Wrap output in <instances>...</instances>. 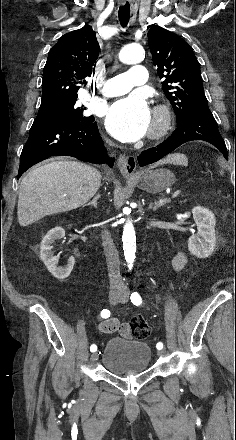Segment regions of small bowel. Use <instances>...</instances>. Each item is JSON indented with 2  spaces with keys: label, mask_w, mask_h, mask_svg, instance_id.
I'll return each mask as SVG.
<instances>
[{
  "label": "small bowel",
  "mask_w": 236,
  "mask_h": 440,
  "mask_svg": "<svg viewBox=\"0 0 236 440\" xmlns=\"http://www.w3.org/2000/svg\"><path fill=\"white\" fill-rule=\"evenodd\" d=\"M188 263V258L185 253L178 252L173 258V268L182 272L186 269ZM103 333H118L119 339L123 342H130L133 336L130 321H118L117 319H109L101 322L99 324Z\"/></svg>",
  "instance_id": "c3829d8e"
}]
</instances>
